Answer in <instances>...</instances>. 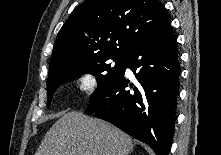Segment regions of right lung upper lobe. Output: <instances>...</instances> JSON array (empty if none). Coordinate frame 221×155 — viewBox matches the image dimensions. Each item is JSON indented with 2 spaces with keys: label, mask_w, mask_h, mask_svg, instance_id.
<instances>
[{
  "label": "right lung upper lobe",
  "mask_w": 221,
  "mask_h": 155,
  "mask_svg": "<svg viewBox=\"0 0 221 155\" xmlns=\"http://www.w3.org/2000/svg\"><path fill=\"white\" fill-rule=\"evenodd\" d=\"M170 24L159 0H86L60 29L49 74L80 61L127 57L142 38Z\"/></svg>",
  "instance_id": "right-lung-upper-lobe-1"
}]
</instances>
